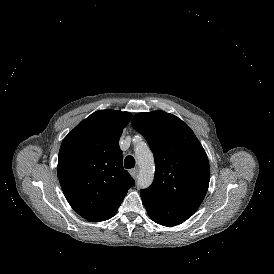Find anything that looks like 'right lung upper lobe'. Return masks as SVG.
<instances>
[{
  "label": "right lung upper lobe",
  "instance_id": "1",
  "mask_svg": "<svg viewBox=\"0 0 274 274\" xmlns=\"http://www.w3.org/2000/svg\"><path fill=\"white\" fill-rule=\"evenodd\" d=\"M132 115L99 110L63 140L57 175L71 207L83 218L100 222L113 217L135 182L123 168L119 138Z\"/></svg>",
  "mask_w": 274,
  "mask_h": 274
}]
</instances>
